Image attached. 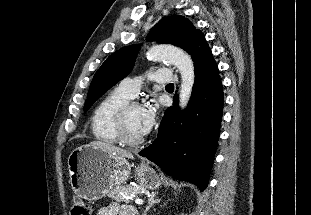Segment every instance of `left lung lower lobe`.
<instances>
[{
    "instance_id": "obj_1",
    "label": "left lung lower lobe",
    "mask_w": 311,
    "mask_h": 215,
    "mask_svg": "<svg viewBox=\"0 0 311 215\" xmlns=\"http://www.w3.org/2000/svg\"><path fill=\"white\" fill-rule=\"evenodd\" d=\"M188 53L194 61L195 83L188 107L179 111L178 95L166 109L158 137L139 152L168 175L204 191L220 133L223 87L212 52L202 36Z\"/></svg>"
}]
</instances>
